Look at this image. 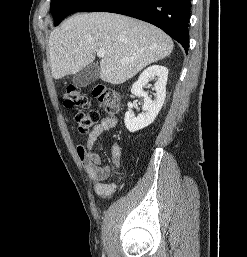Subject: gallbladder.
Here are the masks:
<instances>
[{
	"label": "gallbladder",
	"instance_id": "obj_1",
	"mask_svg": "<svg viewBox=\"0 0 247 257\" xmlns=\"http://www.w3.org/2000/svg\"><path fill=\"white\" fill-rule=\"evenodd\" d=\"M100 72L99 64L91 63L74 74L73 83L78 87H86L100 77Z\"/></svg>",
	"mask_w": 247,
	"mask_h": 257
}]
</instances>
